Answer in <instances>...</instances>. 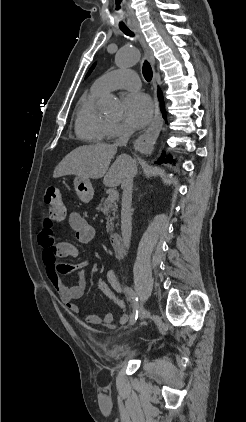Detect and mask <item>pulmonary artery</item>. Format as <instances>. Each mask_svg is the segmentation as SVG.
Masks as SVG:
<instances>
[{
    "instance_id": "pulmonary-artery-1",
    "label": "pulmonary artery",
    "mask_w": 246,
    "mask_h": 422,
    "mask_svg": "<svg viewBox=\"0 0 246 422\" xmlns=\"http://www.w3.org/2000/svg\"><path fill=\"white\" fill-rule=\"evenodd\" d=\"M93 87L103 93L116 89H138L140 80L136 72L127 69L114 70L99 77Z\"/></svg>"
}]
</instances>
